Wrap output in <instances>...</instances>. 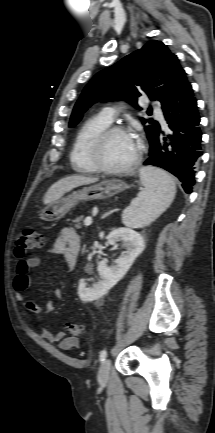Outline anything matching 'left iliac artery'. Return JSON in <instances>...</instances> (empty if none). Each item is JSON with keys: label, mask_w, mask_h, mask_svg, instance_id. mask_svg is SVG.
<instances>
[{"label": "left iliac artery", "mask_w": 215, "mask_h": 433, "mask_svg": "<svg viewBox=\"0 0 215 433\" xmlns=\"http://www.w3.org/2000/svg\"><path fill=\"white\" fill-rule=\"evenodd\" d=\"M106 356H107V351L106 350H102L100 352V356H99L100 362H103L105 360Z\"/></svg>", "instance_id": "left-iliac-artery-1"}]
</instances>
